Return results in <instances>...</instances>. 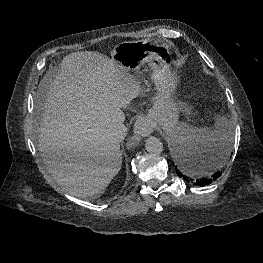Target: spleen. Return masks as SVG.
Returning <instances> with one entry per match:
<instances>
[{
	"label": "spleen",
	"instance_id": "3e777b00",
	"mask_svg": "<svg viewBox=\"0 0 263 263\" xmlns=\"http://www.w3.org/2000/svg\"><path fill=\"white\" fill-rule=\"evenodd\" d=\"M233 142V127L229 120L218 118L213 128H197L185 123H181L174 134L170 136V143L175 150L195 153L206 146L221 147L217 156L210 157L205 168L216 170L222 168L229 157Z\"/></svg>",
	"mask_w": 263,
	"mask_h": 263
}]
</instances>
